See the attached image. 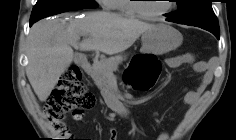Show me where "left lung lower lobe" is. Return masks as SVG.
<instances>
[{"label": "left lung lower lobe", "mask_w": 236, "mask_h": 140, "mask_svg": "<svg viewBox=\"0 0 236 140\" xmlns=\"http://www.w3.org/2000/svg\"><path fill=\"white\" fill-rule=\"evenodd\" d=\"M167 21H169V20L167 19ZM219 37H220V35L217 36L218 39H219Z\"/></svg>", "instance_id": "0a47b994"}]
</instances>
